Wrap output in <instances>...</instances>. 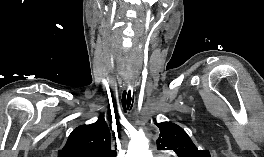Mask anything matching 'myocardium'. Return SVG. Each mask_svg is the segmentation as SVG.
<instances>
[{"instance_id": "1", "label": "myocardium", "mask_w": 264, "mask_h": 157, "mask_svg": "<svg viewBox=\"0 0 264 157\" xmlns=\"http://www.w3.org/2000/svg\"><path fill=\"white\" fill-rule=\"evenodd\" d=\"M158 157H171V156H166V155H164V156H158Z\"/></svg>"}]
</instances>
